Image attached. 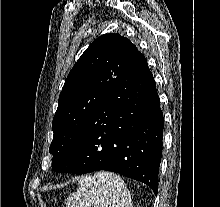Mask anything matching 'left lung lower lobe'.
Here are the masks:
<instances>
[{"instance_id":"0a47b994","label":"left lung lower lobe","mask_w":220,"mask_h":207,"mask_svg":"<svg viewBox=\"0 0 220 207\" xmlns=\"http://www.w3.org/2000/svg\"><path fill=\"white\" fill-rule=\"evenodd\" d=\"M163 123L153 75L138 51L52 169L73 174L112 171L145 183L157 194Z\"/></svg>"}]
</instances>
